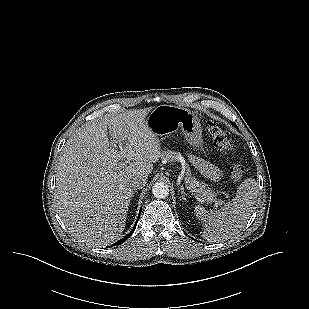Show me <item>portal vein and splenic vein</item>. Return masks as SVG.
Listing matches in <instances>:
<instances>
[{
	"mask_svg": "<svg viewBox=\"0 0 309 309\" xmlns=\"http://www.w3.org/2000/svg\"><path fill=\"white\" fill-rule=\"evenodd\" d=\"M127 163V161H124L123 163H122V165H125ZM189 190H190V192L192 193V195H196L197 193H196V191L195 190H191L188 186H186ZM199 195L197 194L196 195V197H198ZM202 202H204V200H202ZM221 203V201H219V200H215L214 201V205L217 207L219 204Z\"/></svg>",
	"mask_w": 309,
	"mask_h": 309,
	"instance_id": "obj_1",
	"label": "portal vein and splenic vein"
}]
</instances>
